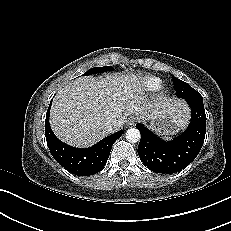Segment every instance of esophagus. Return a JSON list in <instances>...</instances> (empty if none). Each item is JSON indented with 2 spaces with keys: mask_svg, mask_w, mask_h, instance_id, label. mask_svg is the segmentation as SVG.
<instances>
[{
  "mask_svg": "<svg viewBox=\"0 0 231 231\" xmlns=\"http://www.w3.org/2000/svg\"><path fill=\"white\" fill-rule=\"evenodd\" d=\"M136 123V119L134 117H131L129 120H128V125L129 126H134Z\"/></svg>",
  "mask_w": 231,
  "mask_h": 231,
  "instance_id": "obj_1",
  "label": "esophagus"
}]
</instances>
